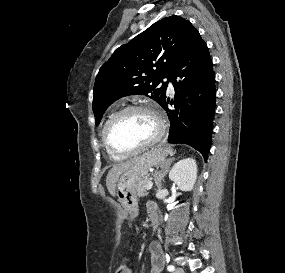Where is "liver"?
<instances>
[{"instance_id":"liver-1","label":"liver","mask_w":285,"mask_h":273,"mask_svg":"<svg viewBox=\"0 0 285 273\" xmlns=\"http://www.w3.org/2000/svg\"><path fill=\"white\" fill-rule=\"evenodd\" d=\"M139 157H135L127 162H122L119 164H116L113 166V168L108 172L107 178H106V186L109 191V193L112 196H115V185L119 178V176L128 168H130Z\"/></svg>"}]
</instances>
